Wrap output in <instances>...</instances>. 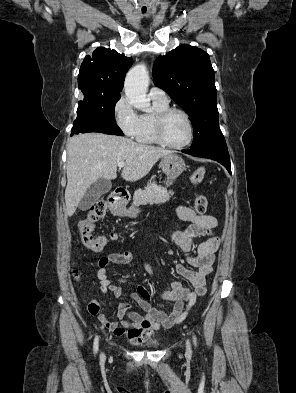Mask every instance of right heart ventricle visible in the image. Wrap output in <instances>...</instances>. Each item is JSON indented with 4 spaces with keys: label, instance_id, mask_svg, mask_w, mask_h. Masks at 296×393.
Here are the masks:
<instances>
[{
    "label": "right heart ventricle",
    "instance_id": "e07e8e85",
    "mask_svg": "<svg viewBox=\"0 0 296 393\" xmlns=\"http://www.w3.org/2000/svg\"><path fill=\"white\" fill-rule=\"evenodd\" d=\"M168 108V104L152 100V111L139 116V128L136 140L145 145L158 144L155 136V118L157 114Z\"/></svg>",
    "mask_w": 296,
    "mask_h": 393
}]
</instances>
